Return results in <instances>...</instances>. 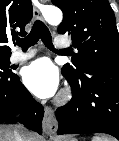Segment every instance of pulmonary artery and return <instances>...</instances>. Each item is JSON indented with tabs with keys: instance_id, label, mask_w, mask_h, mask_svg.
<instances>
[{
	"instance_id": "obj_1",
	"label": "pulmonary artery",
	"mask_w": 119,
	"mask_h": 141,
	"mask_svg": "<svg viewBox=\"0 0 119 141\" xmlns=\"http://www.w3.org/2000/svg\"><path fill=\"white\" fill-rule=\"evenodd\" d=\"M56 46L59 47V48H66L69 46V44L65 41H62V40H57L56 41ZM36 54L35 50L33 49H29L28 51L26 52H20V51H17V52H14L11 56V61L13 63H18V62H23V61H26L32 57H34Z\"/></svg>"
}]
</instances>
